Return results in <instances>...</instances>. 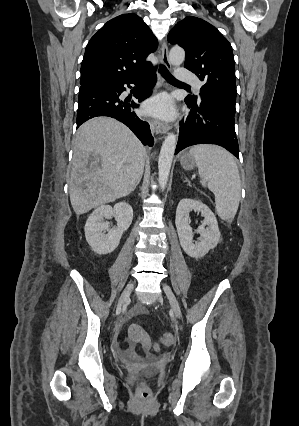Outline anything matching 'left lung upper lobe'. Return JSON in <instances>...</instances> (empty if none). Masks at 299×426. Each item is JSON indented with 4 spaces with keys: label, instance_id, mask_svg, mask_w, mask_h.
I'll return each mask as SVG.
<instances>
[{
    "label": "left lung upper lobe",
    "instance_id": "5c2ea615",
    "mask_svg": "<svg viewBox=\"0 0 299 426\" xmlns=\"http://www.w3.org/2000/svg\"><path fill=\"white\" fill-rule=\"evenodd\" d=\"M168 41L185 49L184 67L204 81L201 98H214L235 108L234 56L227 39L208 22L190 16L173 27Z\"/></svg>",
    "mask_w": 299,
    "mask_h": 426
}]
</instances>
